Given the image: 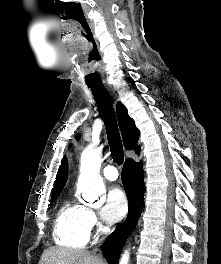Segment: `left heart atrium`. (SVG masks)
<instances>
[{
    "instance_id": "obj_1",
    "label": "left heart atrium",
    "mask_w": 221,
    "mask_h": 264,
    "mask_svg": "<svg viewBox=\"0 0 221 264\" xmlns=\"http://www.w3.org/2000/svg\"><path fill=\"white\" fill-rule=\"evenodd\" d=\"M127 209L128 203L124 192L118 187H113L106 195L100 215L106 223L113 224L125 216Z\"/></svg>"
}]
</instances>
